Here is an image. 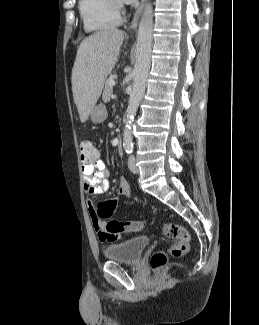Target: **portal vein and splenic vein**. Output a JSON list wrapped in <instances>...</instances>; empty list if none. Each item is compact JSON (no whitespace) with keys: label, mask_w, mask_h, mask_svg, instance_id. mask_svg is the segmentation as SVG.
<instances>
[{"label":"portal vein and splenic vein","mask_w":259,"mask_h":325,"mask_svg":"<svg viewBox=\"0 0 259 325\" xmlns=\"http://www.w3.org/2000/svg\"><path fill=\"white\" fill-rule=\"evenodd\" d=\"M110 84H111L112 86H114V85H115V81L112 80V81L110 82Z\"/></svg>","instance_id":"portal-vein-and-splenic-vein-1"}]
</instances>
